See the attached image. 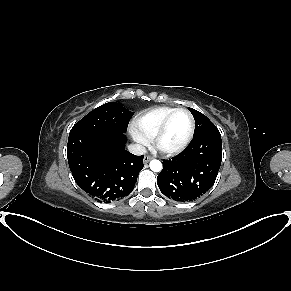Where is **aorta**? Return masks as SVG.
<instances>
[{"mask_svg": "<svg viewBox=\"0 0 291 291\" xmlns=\"http://www.w3.org/2000/svg\"><path fill=\"white\" fill-rule=\"evenodd\" d=\"M150 169L153 172H160L162 170V163L159 160H151L150 161Z\"/></svg>", "mask_w": 291, "mask_h": 291, "instance_id": "762f6f07", "label": "aorta"}]
</instances>
